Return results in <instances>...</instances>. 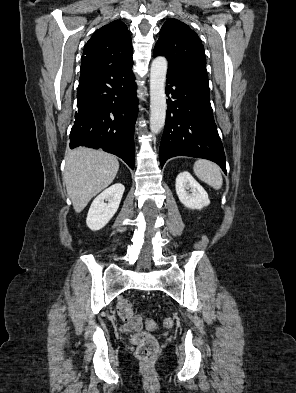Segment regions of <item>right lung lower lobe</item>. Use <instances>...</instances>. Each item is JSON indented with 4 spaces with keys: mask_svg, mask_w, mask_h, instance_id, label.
Returning a JSON list of instances; mask_svg holds the SVG:
<instances>
[{
    "mask_svg": "<svg viewBox=\"0 0 296 393\" xmlns=\"http://www.w3.org/2000/svg\"><path fill=\"white\" fill-rule=\"evenodd\" d=\"M132 65L133 61L115 65L81 64L70 148H100L122 158L134 169L138 99Z\"/></svg>",
    "mask_w": 296,
    "mask_h": 393,
    "instance_id": "right-lung-lower-lobe-1",
    "label": "right lung lower lobe"
}]
</instances>
